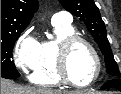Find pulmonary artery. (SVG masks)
Listing matches in <instances>:
<instances>
[{
  "instance_id": "pulmonary-artery-1",
  "label": "pulmonary artery",
  "mask_w": 121,
  "mask_h": 94,
  "mask_svg": "<svg viewBox=\"0 0 121 94\" xmlns=\"http://www.w3.org/2000/svg\"><path fill=\"white\" fill-rule=\"evenodd\" d=\"M71 16L68 12L61 11L53 16V22L70 23Z\"/></svg>"
}]
</instances>
